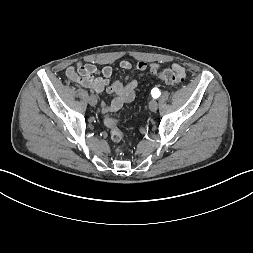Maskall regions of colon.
I'll list each match as a JSON object with an SVG mask.
<instances>
[{
  "label": "colon",
  "mask_w": 253,
  "mask_h": 253,
  "mask_svg": "<svg viewBox=\"0 0 253 253\" xmlns=\"http://www.w3.org/2000/svg\"><path fill=\"white\" fill-rule=\"evenodd\" d=\"M152 72L166 84L174 87L181 85L185 77L184 72L175 67L152 70ZM104 123L109 130L110 138L115 142L121 141L123 138V133L118 127V119L115 117H107Z\"/></svg>",
  "instance_id": "colon-1"
}]
</instances>
